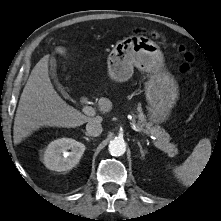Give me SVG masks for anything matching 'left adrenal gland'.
I'll return each mask as SVG.
<instances>
[{"label": "left adrenal gland", "mask_w": 221, "mask_h": 221, "mask_svg": "<svg viewBox=\"0 0 221 221\" xmlns=\"http://www.w3.org/2000/svg\"><path fill=\"white\" fill-rule=\"evenodd\" d=\"M139 148H140V153H141V157L144 159L145 154H146V150H143L142 145L140 144V142H137Z\"/></svg>", "instance_id": "a2214340"}]
</instances>
